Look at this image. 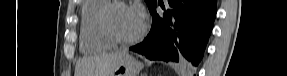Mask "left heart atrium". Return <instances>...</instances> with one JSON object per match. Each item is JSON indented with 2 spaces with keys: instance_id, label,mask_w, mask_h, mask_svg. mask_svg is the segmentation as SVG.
<instances>
[{
  "instance_id": "39dd6f15",
  "label": "left heart atrium",
  "mask_w": 287,
  "mask_h": 76,
  "mask_svg": "<svg viewBox=\"0 0 287 76\" xmlns=\"http://www.w3.org/2000/svg\"><path fill=\"white\" fill-rule=\"evenodd\" d=\"M132 10L136 14V16L139 18V20L143 22L145 19L144 8L140 4H135L134 6H132Z\"/></svg>"
}]
</instances>
